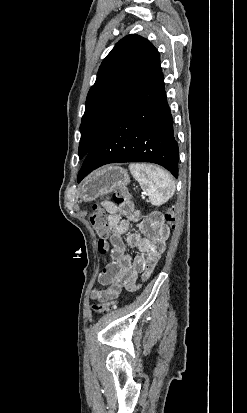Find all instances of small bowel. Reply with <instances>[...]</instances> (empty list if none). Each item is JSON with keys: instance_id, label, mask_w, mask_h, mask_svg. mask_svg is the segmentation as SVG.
Returning a JSON list of instances; mask_svg holds the SVG:
<instances>
[{"instance_id": "obj_1", "label": "small bowel", "mask_w": 247, "mask_h": 413, "mask_svg": "<svg viewBox=\"0 0 247 413\" xmlns=\"http://www.w3.org/2000/svg\"><path fill=\"white\" fill-rule=\"evenodd\" d=\"M101 208L108 213L112 261L99 275V282L106 288L91 292V298L100 302L110 297L120 299L122 285L129 290H136L140 286L139 276L143 281L147 280L166 250L169 236V228L163 222H152L153 230L149 233L150 217L144 218L131 202L117 205L103 201ZM133 225L138 227L139 232H129ZM125 233L124 242L122 235ZM126 246L136 248L139 253L131 257L126 253Z\"/></svg>"}]
</instances>
